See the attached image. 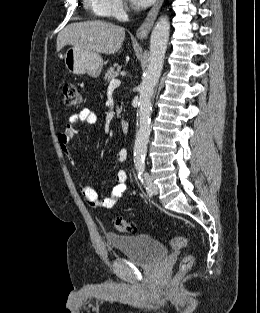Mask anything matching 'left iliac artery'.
Segmentation results:
<instances>
[{
	"label": "left iliac artery",
	"instance_id": "1",
	"mask_svg": "<svg viewBox=\"0 0 260 313\" xmlns=\"http://www.w3.org/2000/svg\"><path fill=\"white\" fill-rule=\"evenodd\" d=\"M136 170L138 172V178L141 180V182L143 183V172L145 170V165L144 164H136Z\"/></svg>",
	"mask_w": 260,
	"mask_h": 313
}]
</instances>
